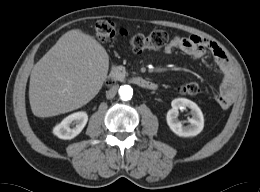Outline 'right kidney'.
Here are the masks:
<instances>
[{"instance_id":"obj_1","label":"right kidney","mask_w":260,"mask_h":192,"mask_svg":"<svg viewBox=\"0 0 260 192\" xmlns=\"http://www.w3.org/2000/svg\"><path fill=\"white\" fill-rule=\"evenodd\" d=\"M87 121L88 115L86 112L79 111L72 113L54 127L53 133L60 139H72L83 130Z\"/></svg>"}]
</instances>
